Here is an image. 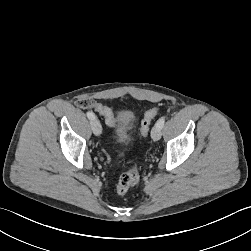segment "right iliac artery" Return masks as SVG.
Instances as JSON below:
<instances>
[{
	"mask_svg": "<svg viewBox=\"0 0 251 251\" xmlns=\"http://www.w3.org/2000/svg\"><path fill=\"white\" fill-rule=\"evenodd\" d=\"M86 115H87V117L89 118V119H95V115H94V113L93 112H87L86 113Z\"/></svg>",
	"mask_w": 251,
	"mask_h": 251,
	"instance_id": "82829eb1",
	"label": "right iliac artery"
}]
</instances>
